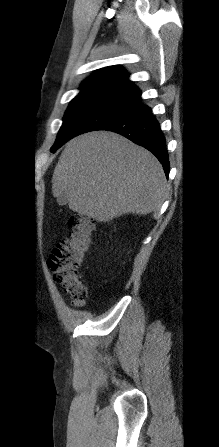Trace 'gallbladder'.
Masks as SVG:
<instances>
[{
    "label": "gallbladder",
    "mask_w": 219,
    "mask_h": 447,
    "mask_svg": "<svg viewBox=\"0 0 219 447\" xmlns=\"http://www.w3.org/2000/svg\"><path fill=\"white\" fill-rule=\"evenodd\" d=\"M59 205L63 206L67 204V201L63 198H60V200L58 201Z\"/></svg>",
    "instance_id": "gallbladder-1"
}]
</instances>
